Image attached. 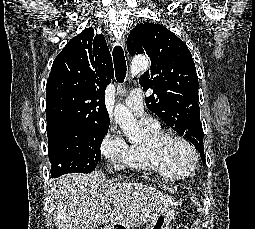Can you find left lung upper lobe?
Returning a JSON list of instances; mask_svg holds the SVG:
<instances>
[{
	"label": "left lung upper lobe",
	"instance_id": "left-lung-upper-lobe-1",
	"mask_svg": "<svg viewBox=\"0 0 255 229\" xmlns=\"http://www.w3.org/2000/svg\"><path fill=\"white\" fill-rule=\"evenodd\" d=\"M130 55L145 54L150 69L139 79L147 108L179 135L188 139L206 163L200 122L198 77L186 44L166 27L156 23L137 25L127 38Z\"/></svg>",
	"mask_w": 255,
	"mask_h": 229
}]
</instances>
